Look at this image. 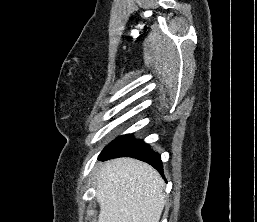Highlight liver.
<instances>
[{
	"label": "liver",
	"mask_w": 257,
	"mask_h": 222,
	"mask_svg": "<svg viewBox=\"0 0 257 222\" xmlns=\"http://www.w3.org/2000/svg\"><path fill=\"white\" fill-rule=\"evenodd\" d=\"M98 222H159L164 181L147 163L117 158L104 163L97 175Z\"/></svg>",
	"instance_id": "6515ba94"
}]
</instances>
